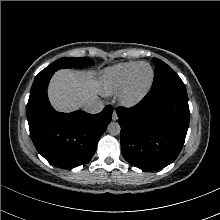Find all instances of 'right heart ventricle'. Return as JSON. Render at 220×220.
<instances>
[{
	"label": "right heart ventricle",
	"mask_w": 220,
	"mask_h": 220,
	"mask_svg": "<svg viewBox=\"0 0 220 220\" xmlns=\"http://www.w3.org/2000/svg\"><path fill=\"white\" fill-rule=\"evenodd\" d=\"M137 64L138 62H125L106 69L100 78L103 93L112 95L121 92Z\"/></svg>",
	"instance_id": "1"
}]
</instances>
